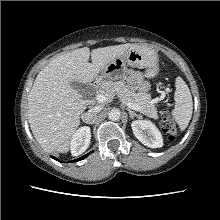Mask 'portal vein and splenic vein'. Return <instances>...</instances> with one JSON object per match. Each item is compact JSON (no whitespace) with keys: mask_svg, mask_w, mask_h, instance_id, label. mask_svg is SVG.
Instances as JSON below:
<instances>
[{"mask_svg":"<svg viewBox=\"0 0 220 220\" xmlns=\"http://www.w3.org/2000/svg\"><path fill=\"white\" fill-rule=\"evenodd\" d=\"M95 98H96V100H97L98 103H104V102H107V101L110 100V98H109L107 95H104V94H98V95H96ZM153 103H155V100H153V101L151 102V104H153ZM126 105H127L130 109L135 110V111H140V110L143 109L142 106H138V105H135V104L130 103V102L126 103Z\"/></svg>","mask_w":220,"mask_h":220,"instance_id":"18ae733b","label":"portal vein and splenic vein"}]
</instances>
